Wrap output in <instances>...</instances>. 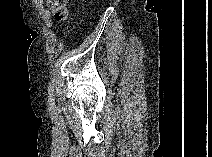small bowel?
Masks as SVG:
<instances>
[{
    "instance_id": "1",
    "label": "small bowel",
    "mask_w": 212,
    "mask_h": 157,
    "mask_svg": "<svg viewBox=\"0 0 212 157\" xmlns=\"http://www.w3.org/2000/svg\"><path fill=\"white\" fill-rule=\"evenodd\" d=\"M34 5L38 11V14L42 18V20L45 22L47 26H51V13L50 11L44 6V3L42 0H35Z\"/></svg>"
}]
</instances>
